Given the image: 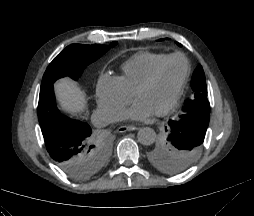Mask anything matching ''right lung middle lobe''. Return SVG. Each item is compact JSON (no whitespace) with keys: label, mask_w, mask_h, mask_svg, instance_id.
Segmentation results:
<instances>
[{"label":"right lung middle lobe","mask_w":254,"mask_h":216,"mask_svg":"<svg viewBox=\"0 0 254 216\" xmlns=\"http://www.w3.org/2000/svg\"><path fill=\"white\" fill-rule=\"evenodd\" d=\"M116 44L117 42H112L109 46L81 44L69 45L49 64L44 73L41 88L48 85H53L57 79L65 76L78 80L84 69L90 63L99 59L104 53H106ZM95 137L97 147L94 152V160L97 162V168L99 171L105 165L108 159L109 145L96 134ZM73 170L80 173V175L75 179L85 180V176L79 170L78 163L74 164Z\"/></svg>","instance_id":"obj_1"}]
</instances>
